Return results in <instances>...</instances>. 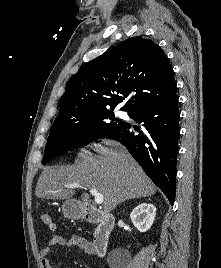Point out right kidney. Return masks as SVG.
Listing matches in <instances>:
<instances>
[{
    "label": "right kidney",
    "mask_w": 221,
    "mask_h": 268,
    "mask_svg": "<svg viewBox=\"0 0 221 268\" xmlns=\"http://www.w3.org/2000/svg\"><path fill=\"white\" fill-rule=\"evenodd\" d=\"M155 215L156 207L154 205L141 203L132 210L130 219L133 225L143 233L150 229L154 222Z\"/></svg>",
    "instance_id": "ca27d5eb"
}]
</instances>
